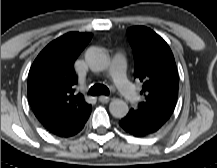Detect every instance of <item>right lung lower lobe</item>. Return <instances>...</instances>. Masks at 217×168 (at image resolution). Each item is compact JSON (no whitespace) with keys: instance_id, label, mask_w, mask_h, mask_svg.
Listing matches in <instances>:
<instances>
[{"instance_id":"98d812e1","label":"right lung lower lobe","mask_w":217,"mask_h":168,"mask_svg":"<svg viewBox=\"0 0 217 168\" xmlns=\"http://www.w3.org/2000/svg\"><path fill=\"white\" fill-rule=\"evenodd\" d=\"M84 124H85V123H84ZM84 124L81 125L80 127H78L77 129H75L74 131H72L71 133H69L68 135H65V136H63V137H70V136H73V135L77 134L79 131L82 130V128L84 127Z\"/></svg>"}]
</instances>
